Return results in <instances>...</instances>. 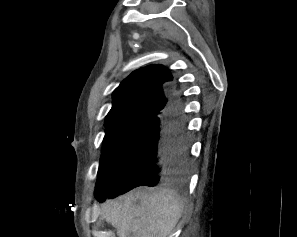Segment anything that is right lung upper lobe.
<instances>
[{
  "label": "right lung upper lobe",
  "instance_id": "cb5924a9",
  "mask_svg": "<svg viewBox=\"0 0 297 237\" xmlns=\"http://www.w3.org/2000/svg\"><path fill=\"white\" fill-rule=\"evenodd\" d=\"M173 77L162 65H150L131 73L113 92L112 108L105 124L133 117L153 118L169 104Z\"/></svg>",
  "mask_w": 297,
  "mask_h": 237
}]
</instances>
